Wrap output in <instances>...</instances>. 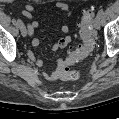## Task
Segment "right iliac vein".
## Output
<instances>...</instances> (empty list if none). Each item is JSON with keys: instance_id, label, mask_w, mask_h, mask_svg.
Listing matches in <instances>:
<instances>
[{"instance_id": "right-iliac-vein-1", "label": "right iliac vein", "mask_w": 119, "mask_h": 119, "mask_svg": "<svg viewBox=\"0 0 119 119\" xmlns=\"http://www.w3.org/2000/svg\"><path fill=\"white\" fill-rule=\"evenodd\" d=\"M20 31H21V34H22L23 37L27 36V28H26V26L24 24H22L20 26Z\"/></svg>"}]
</instances>
